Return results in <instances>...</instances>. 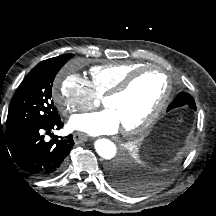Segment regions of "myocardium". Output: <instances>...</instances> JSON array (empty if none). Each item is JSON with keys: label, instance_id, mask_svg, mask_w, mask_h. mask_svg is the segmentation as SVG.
<instances>
[{"label": "myocardium", "instance_id": "f54148a6", "mask_svg": "<svg viewBox=\"0 0 216 216\" xmlns=\"http://www.w3.org/2000/svg\"><path fill=\"white\" fill-rule=\"evenodd\" d=\"M149 71H158L164 77V94L158 102L157 106L148 114V116L144 120L134 126L122 128V132L125 135H133L145 131L157 120V118L166 109L172 93V83L169 75L163 69L154 65L141 66L128 73L114 88L109 90L103 97V103L105 104L108 99L122 95L130 88L136 78Z\"/></svg>", "mask_w": 216, "mask_h": 216}]
</instances>
